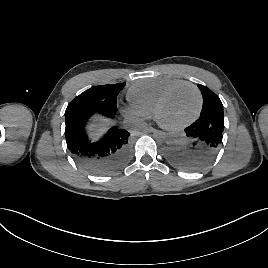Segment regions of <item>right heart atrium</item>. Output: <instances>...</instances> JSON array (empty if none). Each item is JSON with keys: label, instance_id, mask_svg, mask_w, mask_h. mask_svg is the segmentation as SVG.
Returning a JSON list of instances; mask_svg holds the SVG:
<instances>
[{"label": "right heart atrium", "instance_id": "right-heart-atrium-1", "mask_svg": "<svg viewBox=\"0 0 268 268\" xmlns=\"http://www.w3.org/2000/svg\"><path fill=\"white\" fill-rule=\"evenodd\" d=\"M122 111L127 117L134 119L138 122H143L144 120L149 118L146 113L131 104L124 105L122 107Z\"/></svg>", "mask_w": 268, "mask_h": 268}]
</instances>
